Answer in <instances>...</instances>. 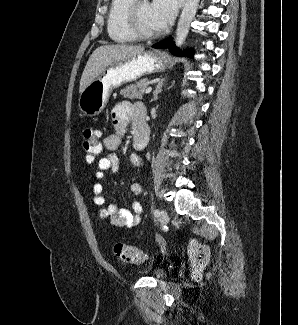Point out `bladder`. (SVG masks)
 Wrapping results in <instances>:
<instances>
[{
	"label": "bladder",
	"mask_w": 298,
	"mask_h": 325,
	"mask_svg": "<svg viewBox=\"0 0 298 325\" xmlns=\"http://www.w3.org/2000/svg\"><path fill=\"white\" fill-rule=\"evenodd\" d=\"M152 276L157 279H163L166 277V272L161 269H156L152 271Z\"/></svg>",
	"instance_id": "31cf9c89"
}]
</instances>
